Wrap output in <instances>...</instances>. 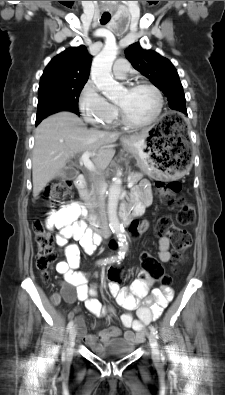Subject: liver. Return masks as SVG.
Listing matches in <instances>:
<instances>
[{
	"instance_id": "liver-1",
	"label": "liver",
	"mask_w": 225,
	"mask_h": 395,
	"mask_svg": "<svg viewBox=\"0 0 225 395\" xmlns=\"http://www.w3.org/2000/svg\"><path fill=\"white\" fill-rule=\"evenodd\" d=\"M120 135V132L88 130L71 112H59L44 119L35 130L33 197L37 198L66 162L78 153H92L95 168L106 169L115 154L112 144Z\"/></svg>"
}]
</instances>
